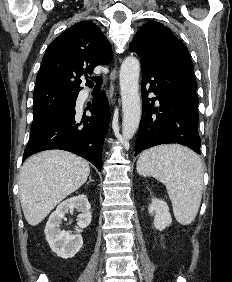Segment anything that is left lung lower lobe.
I'll return each instance as SVG.
<instances>
[{
	"label": "left lung lower lobe",
	"mask_w": 232,
	"mask_h": 282,
	"mask_svg": "<svg viewBox=\"0 0 232 282\" xmlns=\"http://www.w3.org/2000/svg\"><path fill=\"white\" fill-rule=\"evenodd\" d=\"M142 70L143 111L135 156L160 144L178 143L200 154L198 97L194 74L187 70ZM150 86L146 88V84ZM153 93L155 97L148 98ZM158 100L159 105H155Z\"/></svg>",
	"instance_id": "obj_1"
}]
</instances>
